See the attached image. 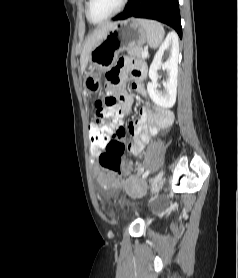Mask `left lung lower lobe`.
<instances>
[{
  "mask_svg": "<svg viewBox=\"0 0 238 278\" xmlns=\"http://www.w3.org/2000/svg\"><path fill=\"white\" fill-rule=\"evenodd\" d=\"M130 17L153 19L167 24L182 38L178 0H129L124 11L113 20Z\"/></svg>",
  "mask_w": 238,
  "mask_h": 278,
  "instance_id": "0a47b994",
  "label": "left lung lower lobe"
}]
</instances>
